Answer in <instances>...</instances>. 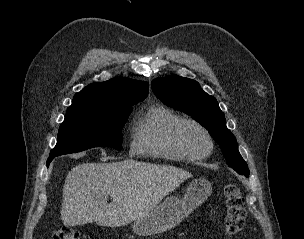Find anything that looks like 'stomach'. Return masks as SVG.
<instances>
[{"mask_svg":"<svg viewBox=\"0 0 304 239\" xmlns=\"http://www.w3.org/2000/svg\"><path fill=\"white\" fill-rule=\"evenodd\" d=\"M212 186L204 178L188 186L183 198L170 196L148 214L135 220L133 231L139 236H150L170 230L184 220L211 194Z\"/></svg>","mask_w":304,"mask_h":239,"instance_id":"0dacf381","label":"stomach"}]
</instances>
